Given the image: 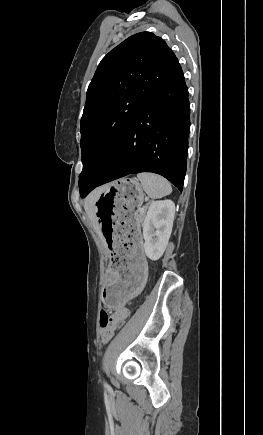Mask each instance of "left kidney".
Here are the masks:
<instances>
[{
    "instance_id": "obj_1",
    "label": "left kidney",
    "mask_w": 263,
    "mask_h": 435,
    "mask_svg": "<svg viewBox=\"0 0 263 435\" xmlns=\"http://www.w3.org/2000/svg\"><path fill=\"white\" fill-rule=\"evenodd\" d=\"M175 204L172 200L153 201L143 223L144 251L151 260L164 253L172 232Z\"/></svg>"
}]
</instances>
